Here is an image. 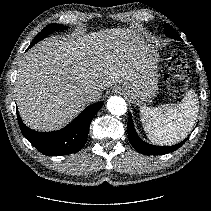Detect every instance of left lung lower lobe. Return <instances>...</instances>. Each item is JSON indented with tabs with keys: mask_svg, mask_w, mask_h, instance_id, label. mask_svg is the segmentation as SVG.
Instances as JSON below:
<instances>
[{
	"mask_svg": "<svg viewBox=\"0 0 211 211\" xmlns=\"http://www.w3.org/2000/svg\"><path fill=\"white\" fill-rule=\"evenodd\" d=\"M127 133L129 136V140L132 144V146L140 153L145 154V155H161V154H167L170 152H173L174 150H177L179 147H181L187 139L184 141L173 145V146H168V147H163V146H155V145H150L143 140L137 135L134 124L132 121L131 114L129 115L128 118V123H127Z\"/></svg>",
	"mask_w": 211,
	"mask_h": 211,
	"instance_id": "obj_1",
	"label": "left lung lower lobe"
}]
</instances>
